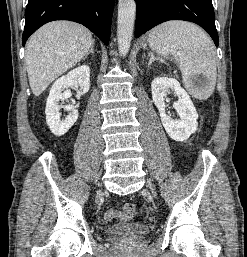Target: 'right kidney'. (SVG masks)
Returning <instances> with one entry per match:
<instances>
[{
  "instance_id": "ca27d5eb",
  "label": "right kidney",
  "mask_w": 247,
  "mask_h": 257,
  "mask_svg": "<svg viewBox=\"0 0 247 257\" xmlns=\"http://www.w3.org/2000/svg\"><path fill=\"white\" fill-rule=\"evenodd\" d=\"M71 86L80 87L83 93L89 91L90 68L87 65H82L71 70L67 75L57 79L51 87L46 102L45 114L47 125L55 136L64 135L78 119V110L74 109L73 105L65 107L66 110L71 112L65 119H60V106L58 102L72 96L69 89ZM72 102L73 104L75 103L74 101Z\"/></svg>"
}]
</instances>
